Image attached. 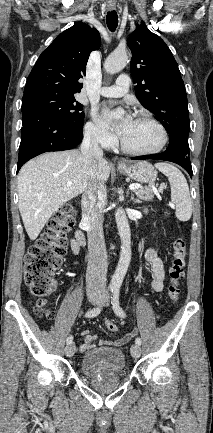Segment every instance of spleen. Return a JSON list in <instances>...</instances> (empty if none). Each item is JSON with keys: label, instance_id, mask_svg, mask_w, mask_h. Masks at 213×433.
<instances>
[{"label": "spleen", "instance_id": "obj_1", "mask_svg": "<svg viewBox=\"0 0 213 433\" xmlns=\"http://www.w3.org/2000/svg\"><path fill=\"white\" fill-rule=\"evenodd\" d=\"M155 167L168 177L171 200L176 206V217L180 221H188L192 215V202L184 175L179 169L168 163H157Z\"/></svg>", "mask_w": 213, "mask_h": 433}]
</instances>
